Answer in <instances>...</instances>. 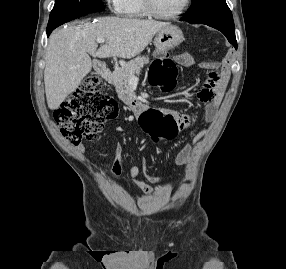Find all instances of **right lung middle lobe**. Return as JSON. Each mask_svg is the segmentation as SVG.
<instances>
[{
    "mask_svg": "<svg viewBox=\"0 0 286 269\" xmlns=\"http://www.w3.org/2000/svg\"><path fill=\"white\" fill-rule=\"evenodd\" d=\"M104 9L101 0H56L50 13L47 29H55L65 22Z\"/></svg>",
    "mask_w": 286,
    "mask_h": 269,
    "instance_id": "right-lung-middle-lobe-1",
    "label": "right lung middle lobe"
}]
</instances>
